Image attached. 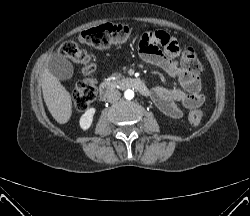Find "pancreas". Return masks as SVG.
<instances>
[{
    "label": "pancreas",
    "mask_w": 250,
    "mask_h": 216,
    "mask_svg": "<svg viewBox=\"0 0 250 216\" xmlns=\"http://www.w3.org/2000/svg\"><path fill=\"white\" fill-rule=\"evenodd\" d=\"M112 77L115 78V80H113V84H115L117 82V80L122 78L121 74H119V73L113 74Z\"/></svg>",
    "instance_id": "1"
}]
</instances>
